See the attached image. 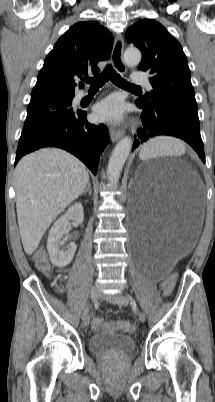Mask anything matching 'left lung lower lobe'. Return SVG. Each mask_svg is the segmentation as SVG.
I'll return each mask as SVG.
<instances>
[{"label":"left lung lower lobe","instance_id":"0a47b994","mask_svg":"<svg viewBox=\"0 0 215 402\" xmlns=\"http://www.w3.org/2000/svg\"><path fill=\"white\" fill-rule=\"evenodd\" d=\"M136 104L143 110V127L137 130L132 151L153 137L168 135L187 142L205 162L198 112L169 101H148L142 97L136 100Z\"/></svg>","mask_w":215,"mask_h":402}]
</instances>
